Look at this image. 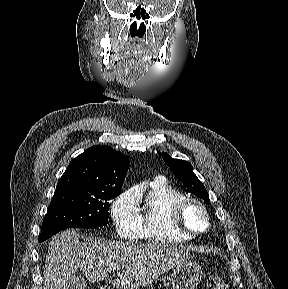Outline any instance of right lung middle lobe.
<instances>
[{"label": "right lung middle lobe", "mask_w": 288, "mask_h": 289, "mask_svg": "<svg viewBox=\"0 0 288 289\" xmlns=\"http://www.w3.org/2000/svg\"><path fill=\"white\" fill-rule=\"evenodd\" d=\"M121 191L55 192L43 220L39 242L68 227L97 228L108 223L109 200Z\"/></svg>", "instance_id": "dd1d6c3e"}]
</instances>
